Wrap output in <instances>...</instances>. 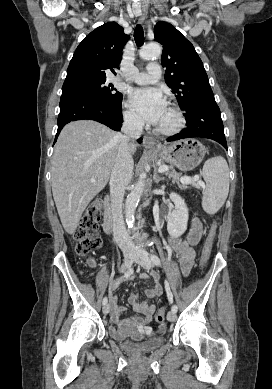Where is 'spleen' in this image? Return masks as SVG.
I'll return each instance as SVG.
<instances>
[{"label":"spleen","mask_w":272,"mask_h":389,"mask_svg":"<svg viewBox=\"0 0 272 389\" xmlns=\"http://www.w3.org/2000/svg\"><path fill=\"white\" fill-rule=\"evenodd\" d=\"M206 188L202 207L208 214H215L225 203L229 192V168L223 157L207 160L202 170Z\"/></svg>","instance_id":"3e777b00"}]
</instances>
